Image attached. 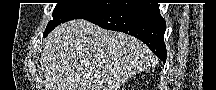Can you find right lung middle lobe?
<instances>
[{
	"instance_id": "1",
	"label": "right lung middle lobe",
	"mask_w": 216,
	"mask_h": 90,
	"mask_svg": "<svg viewBox=\"0 0 216 90\" xmlns=\"http://www.w3.org/2000/svg\"><path fill=\"white\" fill-rule=\"evenodd\" d=\"M114 4H57L43 37H46L56 26L73 19L86 18L100 13Z\"/></svg>"
}]
</instances>
